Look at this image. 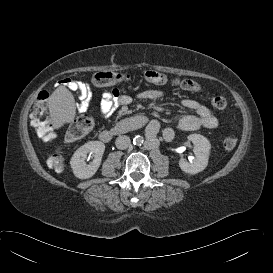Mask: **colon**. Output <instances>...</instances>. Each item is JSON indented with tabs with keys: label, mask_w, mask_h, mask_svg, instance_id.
Returning a JSON list of instances; mask_svg holds the SVG:
<instances>
[{
	"label": "colon",
	"mask_w": 273,
	"mask_h": 273,
	"mask_svg": "<svg viewBox=\"0 0 273 273\" xmlns=\"http://www.w3.org/2000/svg\"><path fill=\"white\" fill-rule=\"evenodd\" d=\"M129 74H119L115 72H99L92 77L93 84L97 86H111L117 83L130 80ZM143 78L147 83L164 85L169 82V78L158 71L148 70L144 72ZM174 84L186 86L192 91H197L200 86L197 82L191 79L175 78L171 80ZM48 91H41L38 95L37 102L31 114V125L36 130L37 135L45 142L51 143L55 137L53 125L50 123L47 101L49 99ZM211 103L216 109H224L227 105L226 99L223 96L216 95L211 98ZM93 122L87 115L78 116L67 131L66 138L69 142H75L86 136L92 129ZM223 145L226 149H233L236 146V139L232 136H227L223 140ZM49 165L57 171L62 170V156L59 151H55L49 158Z\"/></svg>",
	"instance_id": "obj_1"
}]
</instances>
